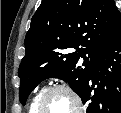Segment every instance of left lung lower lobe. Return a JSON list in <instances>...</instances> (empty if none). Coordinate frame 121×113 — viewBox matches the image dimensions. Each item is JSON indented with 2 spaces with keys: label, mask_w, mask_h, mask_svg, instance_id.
I'll use <instances>...</instances> for the list:
<instances>
[{
  "label": "left lung lower lobe",
  "mask_w": 121,
  "mask_h": 113,
  "mask_svg": "<svg viewBox=\"0 0 121 113\" xmlns=\"http://www.w3.org/2000/svg\"><path fill=\"white\" fill-rule=\"evenodd\" d=\"M87 113H121V21L102 50L80 95Z\"/></svg>",
  "instance_id": "obj_1"
}]
</instances>
